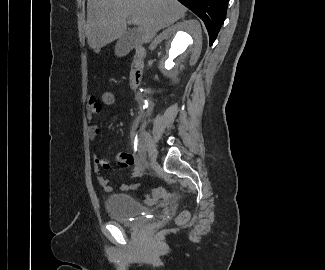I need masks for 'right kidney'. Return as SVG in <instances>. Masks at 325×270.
I'll return each mask as SVG.
<instances>
[{
	"label": "right kidney",
	"instance_id": "1",
	"mask_svg": "<svg viewBox=\"0 0 325 270\" xmlns=\"http://www.w3.org/2000/svg\"><path fill=\"white\" fill-rule=\"evenodd\" d=\"M157 40L164 41V46L154 69L165 83L176 84L200 56L201 26L196 20L183 21L163 31Z\"/></svg>",
	"mask_w": 325,
	"mask_h": 270
}]
</instances>
